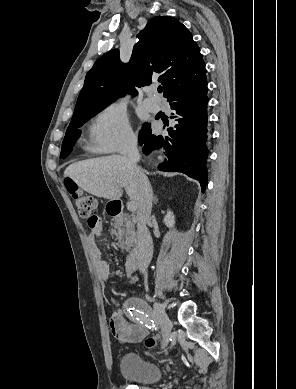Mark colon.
<instances>
[{
  "mask_svg": "<svg viewBox=\"0 0 296 389\" xmlns=\"http://www.w3.org/2000/svg\"><path fill=\"white\" fill-rule=\"evenodd\" d=\"M66 187L71 194L74 203L78 209L79 215L83 218H87L88 224L93 225L96 222V215L94 211L96 209V200L80 190L72 180H66ZM147 348H154L156 346V340L154 338H148L145 341Z\"/></svg>",
  "mask_w": 296,
  "mask_h": 389,
  "instance_id": "5ec220e1",
  "label": "colon"
}]
</instances>
